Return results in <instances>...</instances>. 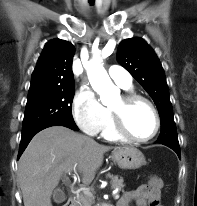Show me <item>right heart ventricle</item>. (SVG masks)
Returning <instances> with one entry per match:
<instances>
[{
  "label": "right heart ventricle",
  "mask_w": 197,
  "mask_h": 206,
  "mask_svg": "<svg viewBox=\"0 0 197 206\" xmlns=\"http://www.w3.org/2000/svg\"><path fill=\"white\" fill-rule=\"evenodd\" d=\"M129 89V88H125ZM102 137L110 141H116L120 139V136L117 134L113 127L112 119L110 112L107 110V117L106 120L100 130Z\"/></svg>",
  "instance_id": "1"
}]
</instances>
